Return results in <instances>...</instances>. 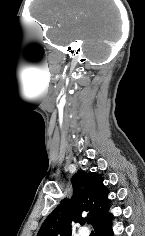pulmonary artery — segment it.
<instances>
[{
  "label": "pulmonary artery",
  "instance_id": "pulmonary-artery-1",
  "mask_svg": "<svg viewBox=\"0 0 145 236\" xmlns=\"http://www.w3.org/2000/svg\"><path fill=\"white\" fill-rule=\"evenodd\" d=\"M79 236H89V230L87 228H80L79 229Z\"/></svg>",
  "mask_w": 145,
  "mask_h": 236
}]
</instances>
